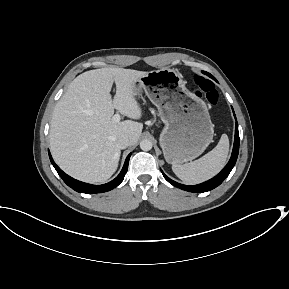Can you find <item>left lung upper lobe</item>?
Instances as JSON below:
<instances>
[{
	"label": "left lung upper lobe",
	"mask_w": 289,
	"mask_h": 289,
	"mask_svg": "<svg viewBox=\"0 0 289 289\" xmlns=\"http://www.w3.org/2000/svg\"><path fill=\"white\" fill-rule=\"evenodd\" d=\"M203 73L214 79V77L211 74H209L208 72H203Z\"/></svg>",
	"instance_id": "1"
}]
</instances>
